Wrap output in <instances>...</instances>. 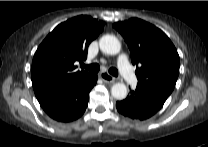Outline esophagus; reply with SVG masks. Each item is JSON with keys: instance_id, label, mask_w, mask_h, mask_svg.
Instances as JSON below:
<instances>
[{"instance_id": "obj_1", "label": "esophagus", "mask_w": 208, "mask_h": 147, "mask_svg": "<svg viewBox=\"0 0 208 147\" xmlns=\"http://www.w3.org/2000/svg\"><path fill=\"white\" fill-rule=\"evenodd\" d=\"M99 76L105 83H114L116 81V78L106 72L100 73Z\"/></svg>"}]
</instances>
